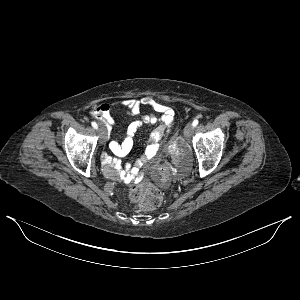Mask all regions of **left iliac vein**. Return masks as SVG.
Here are the masks:
<instances>
[{
	"label": "left iliac vein",
	"mask_w": 300,
	"mask_h": 300,
	"mask_svg": "<svg viewBox=\"0 0 300 300\" xmlns=\"http://www.w3.org/2000/svg\"><path fill=\"white\" fill-rule=\"evenodd\" d=\"M193 129H194V127H193L192 123H187V125L184 128V136L187 139L192 137Z\"/></svg>",
	"instance_id": "obj_1"
}]
</instances>
